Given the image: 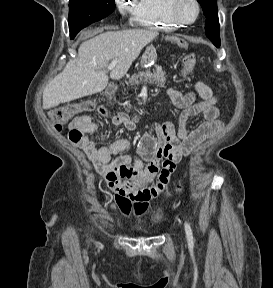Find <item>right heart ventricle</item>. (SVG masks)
<instances>
[{
    "label": "right heart ventricle",
    "mask_w": 273,
    "mask_h": 288,
    "mask_svg": "<svg viewBox=\"0 0 273 288\" xmlns=\"http://www.w3.org/2000/svg\"><path fill=\"white\" fill-rule=\"evenodd\" d=\"M167 0H137L132 22L135 26L157 29L172 30L179 26L168 15Z\"/></svg>",
    "instance_id": "1"
}]
</instances>
